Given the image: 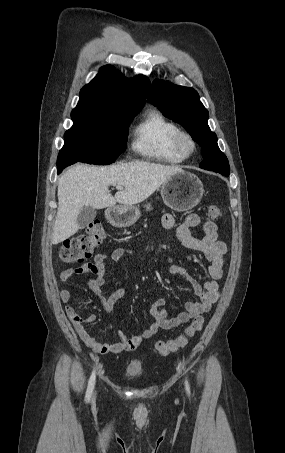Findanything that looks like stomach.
Listing matches in <instances>:
<instances>
[{
    "label": "stomach",
    "instance_id": "1",
    "mask_svg": "<svg viewBox=\"0 0 285 453\" xmlns=\"http://www.w3.org/2000/svg\"><path fill=\"white\" fill-rule=\"evenodd\" d=\"M204 188L201 180L190 172L181 171L170 176L161 187L163 202L171 209L183 212L194 208L201 200ZM150 210L151 205L147 204ZM135 206L113 207L107 210L106 218L115 227H128L139 217Z\"/></svg>",
    "mask_w": 285,
    "mask_h": 453
}]
</instances>
